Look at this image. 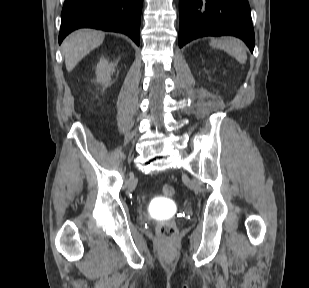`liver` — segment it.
Listing matches in <instances>:
<instances>
[{"instance_id": "liver-1", "label": "liver", "mask_w": 309, "mask_h": 288, "mask_svg": "<svg viewBox=\"0 0 309 288\" xmlns=\"http://www.w3.org/2000/svg\"><path fill=\"white\" fill-rule=\"evenodd\" d=\"M105 34L101 31L81 29L69 35L63 42L62 50L68 72L94 48L104 41Z\"/></svg>"}]
</instances>
